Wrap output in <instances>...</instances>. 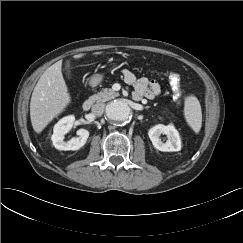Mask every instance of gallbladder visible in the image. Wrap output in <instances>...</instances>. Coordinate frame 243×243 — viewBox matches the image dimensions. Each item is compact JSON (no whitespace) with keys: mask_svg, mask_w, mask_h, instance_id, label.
<instances>
[{"mask_svg":"<svg viewBox=\"0 0 243 243\" xmlns=\"http://www.w3.org/2000/svg\"><path fill=\"white\" fill-rule=\"evenodd\" d=\"M71 61L67 60L66 61V75L68 78L71 77Z\"/></svg>","mask_w":243,"mask_h":243,"instance_id":"bac80fb5","label":"gallbladder"}]
</instances>
